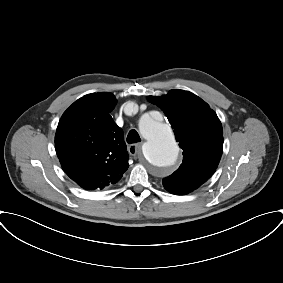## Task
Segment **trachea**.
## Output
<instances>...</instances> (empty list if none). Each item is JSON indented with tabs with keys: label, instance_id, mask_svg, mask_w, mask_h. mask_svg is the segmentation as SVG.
Returning <instances> with one entry per match:
<instances>
[{
	"label": "trachea",
	"instance_id": "trachea-1",
	"mask_svg": "<svg viewBox=\"0 0 283 283\" xmlns=\"http://www.w3.org/2000/svg\"><path fill=\"white\" fill-rule=\"evenodd\" d=\"M126 140L128 143H136L141 141L139 134L134 129L128 133Z\"/></svg>",
	"mask_w": 283,
	"mask_h": 283
}]
</instances>
